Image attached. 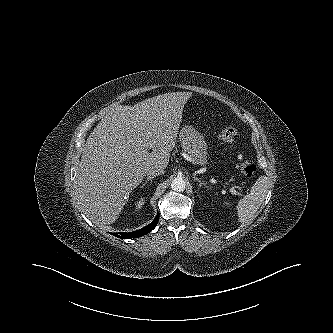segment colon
<instances>
[{
  "mask_svg": "<svg viewBox=\"0 0 333 333\" xmlns=\"http://www.w3.org/2000/svg\"><path fill=\"white\" fill-rule=\"evenodd\" d=\"M238 135V131L234 126H226L221 133V138L225 143H232ZM237 168L245 177H252L256 171V166L253 162L245 159H240Z\"/></svg>",
  "mask_w": 333,
  "mask_h": 333,
  "instance_id": "1",
  "label": "colon"
}]
</instances>
